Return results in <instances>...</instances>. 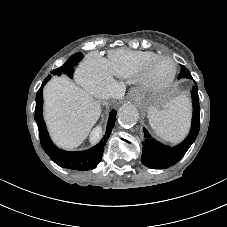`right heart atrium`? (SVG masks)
<instances>
[{"label": "right heart atrium", "mask_w": 227, "mask_h": 227, "mask_svg": "<svg viewBox=\"0 0 227 227\" xmlns=\"http://www.w3.org/2000/svg\"><path fill=\"white\" fill-rule=\"evenodd\" d=\"M78 80L87 91L98 97H105L115 91V81L108 63L98 53L86 56L78 71Z\"/></svg>", "instance_id": "1"}]
</instances>
